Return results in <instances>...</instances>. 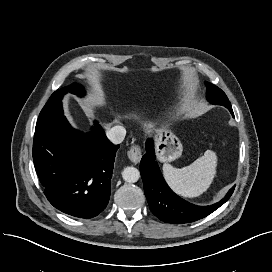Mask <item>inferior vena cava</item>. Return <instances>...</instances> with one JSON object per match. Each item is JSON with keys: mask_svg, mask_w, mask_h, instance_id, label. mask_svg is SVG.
<instances>
[{"mask_svg": "<svg viewBox=\"0 0 272 272\" xmlns=\"http://www.w3.org/2000/svg\"><path fill=\"white\" fill-rule=\"evenodd\" d=\"M126 136V129L123 126H114L107 131L108 139L114 144H120Z\"/></svg>", "mask_w": 272, "mask_h": 272, "instance_id": "602c4592", "label": "inferior vena cava"}]
</instances>
